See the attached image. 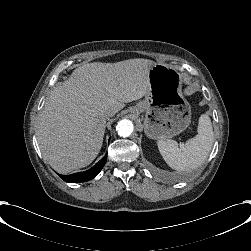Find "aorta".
Segmentation results:
<instances>
[{
    "instance_id": "1",
    "label": "aorta",
    "mask_w": 251,
    "mask_h": 251,
    "mask_svg": "<svg viewBox=\"0 0 251 251\" xmlns=\"http://www.w3.org/2000/svg\"><path fill=\"white\" fill-rule=\"evenodd\" d=\"M116 130L120 136L127 137L133 131V123L128 119L120 120L117 124Z\"/></svg>"
}]
</instances>
